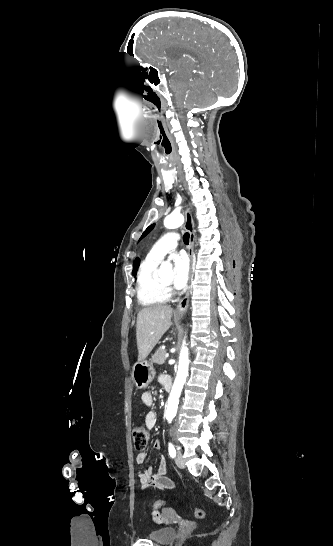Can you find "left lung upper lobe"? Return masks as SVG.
Here are the masks:
<instances>
[{"label":"left lung upper lobe","mask_w":333,"mask_h":546,"mask_svg":"<svg viewBox=\"0 0 333 546\" xmlns=\"http://www.w3.org/2000/svg\"><path fill=\"white\" fill-rule=\"evenodd\" d=\"M153 228H154V224L150 225V226L145 230V232L142 234V236H141L140 239H142L145 235H147Z\"/></svg>","instance_id":"obj_1"}]
</instances>
